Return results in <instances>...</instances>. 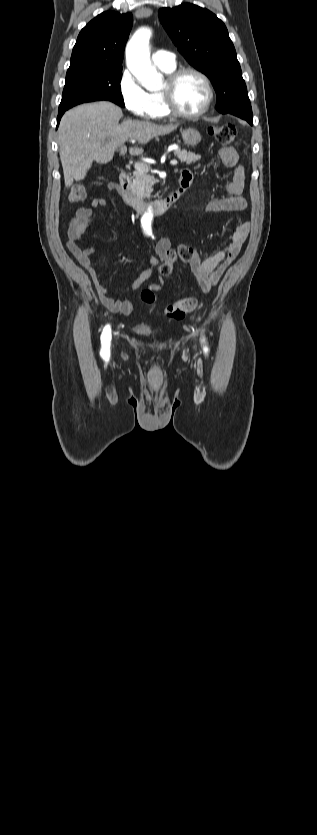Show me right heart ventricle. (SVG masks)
Here are the masks:
<instances>
[{"label":"right heart ventricle","instance_id":"e07e8e85","mask_svg":"<svg viewBox=\"0 0 317 835\" xmlns=\"http://www.w3.org/2000/svg\"><path fill=\"white\" fill-rule=\"evenodd\" d=\"M164 73L170 74L172 71L175 70V66L171 68H160ZM150 100L153 107V118H163L170 115V112L167 108L165 103L164 97L161 91H153L149 93Z\"/></svg>","mask_w":317,"mask_h":835}]
</instances>
